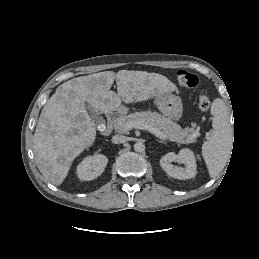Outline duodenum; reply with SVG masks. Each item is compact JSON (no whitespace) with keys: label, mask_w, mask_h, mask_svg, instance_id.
Masks as SVG:
<instances>
[{"label":"duodenum","mask_w":259,"mask_h":259,"mask_svg":"<svg viewBox=\"0 0 259 259\" xmlns=\"http://www.w3.org/2000/svg\"><path fill=\"white\" fill-rule=\"evenodd\" d=\"M118 116H119V110L117 109H112L107 112L106 114L107 123L105 128L101 131L103 135H108L111 132L112 125L115 122V120L118 118Z\"/></svg>","instance_id":"duodenum-1"}]
</instances>
